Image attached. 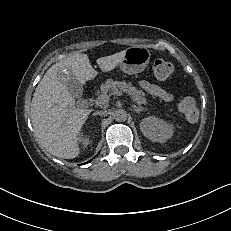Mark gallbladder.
Instances as JSON below:
<instances>
[{
    "mask_svg": "<svg viewBox=\"0 0 231 231\" xmlns=\"http://www.w3.org/2000/svg\"><path fill=\"white\" fill-rule=\"evenodd\" d=\"M57 80L60 84L65 85L69 93L74 97L82 95V85L75 77L74 72L66 66H61L58 69Z\"/></svg>",
    "mask_w": 231,
    "mask_h": 231,
    "instance_id": "bac80fb5",
    "label": "gallbladder"
}]
</instances>
